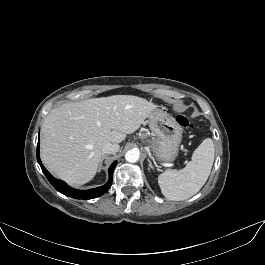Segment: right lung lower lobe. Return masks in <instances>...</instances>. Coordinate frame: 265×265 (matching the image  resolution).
<instances>
[{"mask_svg": "<svg viewBox=\"0 0 265 265\" xmlns=\"http://www.w3.org/2000/svg\"><path fill=\"white\" fill-rule=\"evenodd\" d=\"M37 160H38V163H39L44 175L47 177L49 182L52 184V186L57 191H59L60 193L66 195V196H69V197H72L75 199H83V200H88V199H93V198L99 197L108 191V189L111 187L113 171H114L116 164H117V162L115 161L109 167V170H108L109 180L105 185L98 187V188H95V189H90L87 191H81V190L73 189V188L69 187L66 183H64L63 181L54 178L45 169V167L42 165V162H41L40 156H39V141H38V146H37Z\"/></svg>", "mask_w": 265, "mask_h": 265, "instance_id": "obj_1", "label": "right lung lower lobe"}]
</instances>
